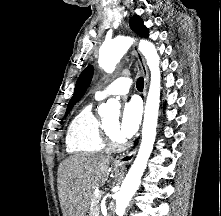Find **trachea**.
<instances>
[{
    "instance_id": "obj_1",
    "label": "trachea",
    "mask_w": 221,
    "mask_h": 216,
    "mask_svg": "<svg viewBox=\"0 0 221 216\" xmlns=\"http://www.w3.org/2000/svg\"><path fill=\"white\" fill-rule=\"evenodd\" d=\"M136 86H137V89H138V90H140V91L143 90V87H144L143 77H139V78L137 79Z\"/></svg>"
}]
</instances>
